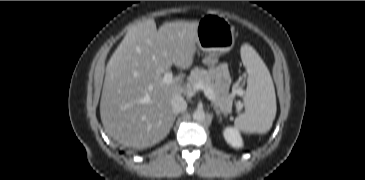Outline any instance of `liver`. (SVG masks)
<instances>
[{"label":"liver","mask_w":365,"mask_h":180,"mask_svg":"<svg viewBox=\"0 0 365 180\" xmlns=\"http://www.w3.org/2000/svg\"><path fill=\"white\" fill-rule=\"evenodd\" d=\"M198 21L163 24L149 19L132 25L111 56L100 101L106 132L120 144L146 148L163 140L173 125L171 100L186 93L182 82L167 85L172 65L193 64Z\"/></svg>","instance_id":"1"}]
</instances>
